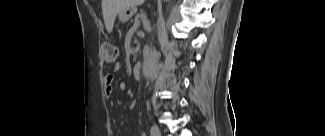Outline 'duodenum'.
Wrapping results in <instances>:
<instances>
[{
    "label": "duodenum",
    "instance_id": "duodenum-1",
    "mask_svg": "<svg viewBox=\"0 0 325 136\" xmlns=\"http://www.w3.org/2000/svg\"><path fill=\"white\" fill-rule=\"evenodd\" d=\"M142 73V64L136 63L132 68V74L135 78H139Z\"/></svg>",
    "mask_w": 325,
    "mask_h": 136
}]
</instances>
